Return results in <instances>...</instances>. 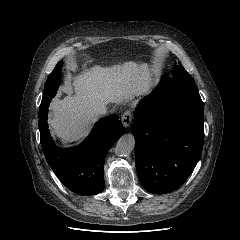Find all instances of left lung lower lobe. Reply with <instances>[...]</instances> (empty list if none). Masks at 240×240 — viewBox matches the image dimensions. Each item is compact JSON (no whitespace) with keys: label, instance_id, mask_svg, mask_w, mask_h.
Here are the masks:
<instances>
[{"label":"left lung lower lobe","instance_id":"1","mask_svg":"<svg viewBox=\"0 0 240 240\" xmlns=\"http://www.w3.org/2000/svg\"><path fill=\"white\" fill-rule=\"evenodd\" d=\"M131 127L142 186L154 194L178 189L203 148L204 108L196 84L163 78L138 104Z\"/></svg>","mask_w":240,"mask_h":240}]
</instances>
